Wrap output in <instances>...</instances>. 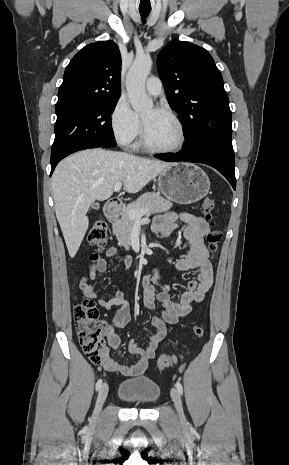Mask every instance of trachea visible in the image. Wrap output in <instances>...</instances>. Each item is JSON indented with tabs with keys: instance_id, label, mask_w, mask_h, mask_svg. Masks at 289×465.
<instances>
[{
	"instance_id": "obj_1",
	"label": "trachea",
	"mask_w": 289,
	"mask_h": 465,
	"mask_svg": "<svg viewBox=\"0 0 289 465\" xmlns=\"http://www.w3.org/2000/svg\"><path fill=\"white\" fill-rule=\"evenodd\" d=\"M139 12H140V15H141V17L143 18V22H144V19L148 17V15L150 14L151 10H143V9H140Z\"/></svg>"
}]
</instances>
